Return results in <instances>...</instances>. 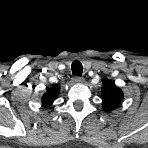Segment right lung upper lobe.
Listing matches in <instances>:
<instances>
[{
  "mask_svg": "<svg viewBox=\"0 0 148 148\" xmlns=\"http://www.w3.org/2000/svg\"><path fill=\"white\" fill-rule=\"evenodd\" d=\"M59 90L60 89L58 85H54L51 88H47L46 93L41 98L42 104L45 106H51L54 100L57 98Z\"/></svg>",
  "mask_w": 148,
  "mask_h": 148,
  "instance_id": "cb5924a9",
  "label": "right lung upper lobe"
}]
</instances>
